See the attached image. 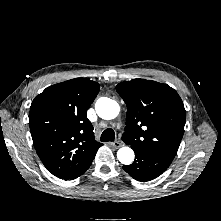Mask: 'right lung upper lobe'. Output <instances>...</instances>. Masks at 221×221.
<instances>
[{
    "mask_svg": "<svg viewBox=\"0 0 221 221\" xmlns=\"http://www.w3.org/2000/svg\"><path fill=\"white\" fill-rule=\"evenodd\" d=\"M98 92L97 82L76 78L46 88L31 104L34 147L44 166L60 179L79 175L102 146L87 118Z\"/></svg>",
    "mask_w": 221,
    "mask_h": 221,
    "instance_id": "cb5924a9",
    "label": "right lung upper lobe"
}]
</instances>
